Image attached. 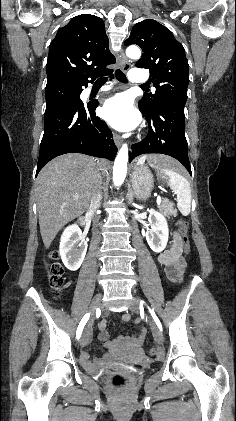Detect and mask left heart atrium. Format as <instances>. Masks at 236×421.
<instances>
[{"label": "left heart atrium", "mask_w": 236, "mask_h": 421, "mask_svg": "<svg viewBox=\"0 0 236 421\" xmlns=\"http://www.w3.org/2000/svg\"><path fill=\"white\" fill-rule=\"evenodd\" d=\"M100 114L111 127L118 130L133 129L140 123L138 113L124 95H115L107 99Z\"/></svg>", "instance_id": "left-heart-atrium-1"}]
</instances>
